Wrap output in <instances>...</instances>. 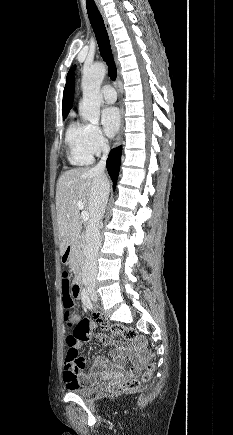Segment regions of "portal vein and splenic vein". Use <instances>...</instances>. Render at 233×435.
<instances>
[{
	"mask_svg": "<svg viewBox=\"0 0 233 435\" xmlns=\"http://www.w3.org/2000/svg\"><path fill=\"white\" fill-rule=\"evenodd\" d=\"M77 207L82 210L81 212V217L84 221H88L89 219V213L87 211L84 210V204L81 201L77 202Z\"/></svg>",
	"mask_w": 233,
	"mask_h": 435,
	"instance_id": "obj_1",
	"label": "portal vein and splenic vein"
}]
</instances>
